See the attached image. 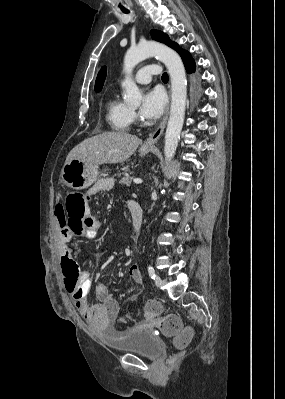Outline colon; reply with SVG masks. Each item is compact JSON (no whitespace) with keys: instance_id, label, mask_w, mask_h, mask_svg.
<instances>
[{"instance_id":"1","label":"colon","mask_w":285,"mask_h":399,"mask_svg":"<svg viewBox=\"0 0 285 399\" xmlns=\"http://www.w3.org/2000/svg\"><path fill=\"white\" fill-rule=\"evenodd\" d=\"M87 200L68 194L61 202V225L67 226L71 236H87L91 229V219L86 210ZM61 270L65 279L67 291L73 298L79 299L82 288V278L78 262L73 257L61 258ZM137 313V311L135 312ZM144 313L160 323L164 335L173 338L176 346H184L193 337V331L184 328L176 317H161L162 306L157 300H149L144 308ZM126 316L118 319L124 322ZM161 317V318H160Z\"/></svg>"}]
</instances>
